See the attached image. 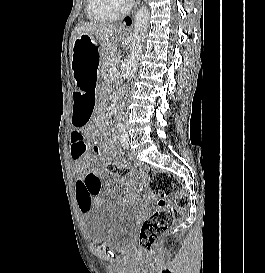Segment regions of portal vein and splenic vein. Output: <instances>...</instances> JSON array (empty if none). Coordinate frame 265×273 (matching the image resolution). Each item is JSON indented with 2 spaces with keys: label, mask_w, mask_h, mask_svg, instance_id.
<instances>
[{
  "label": "portal vein and splenic vein",
  "mask_w": 265,
  "mask_h": 273,
  "mask_svg": "<svg viewBox=\"0 0 265 273\" xmlns=\"http://www.w3.org/2000/svg\"><path fill=\"white\" fill-rule=\"evenodd\" d=\"M114 71H116V67H115V66L111 67V68L108 70L109 73H112V72H114Z\"/></svg>",
  "instance_id": "obj_1"
}]
</instances>
